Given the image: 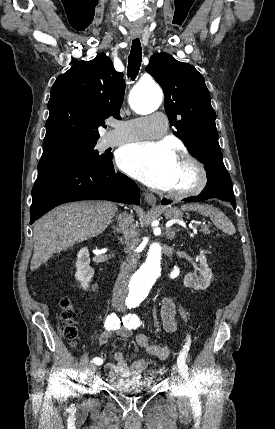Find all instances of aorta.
I'll return each mask as SVG.
<instances>
[{"label":"aorta","instance_id":"aorta-1","mask_svg":"<svg viewBox=\"0 0 275 429\" xmlns=\"http://www.w3.org/2000/svg\"><path fill=\"white\" fill-rule=\"evenodd\" d=\"M162 91L154 82L137 84L130 94V106L138 114H149L158 109L162 102ZM162 248L155 242L150 245L146 261L132 276L130 298L137 303L145 298L160 274Z\"/></svg>","mask_w":275,"mask_h":429}]
</instances>
